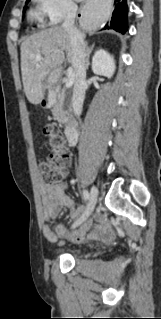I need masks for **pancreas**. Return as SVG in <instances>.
Instances as JSON below:
<instances>
[{
  "label": "pancreas",
  "mask_w": 161,
  "mask_h": 319,
  "mask_svg": "<svg viewBox=\"0 0 161 319\" xmlns=\"http://www.w3.org/2000/svg\"><path fill=\"white\" fill-rule=\"evenodd\" d=\"M64 100H65V91L62 90L58 96L57 100L53 106L52 114L54 118L61 124H65L68 122V116L67 113L64 111Z\"/></svg>",
  "instance_id": "obj_1"
}]
</instances>
